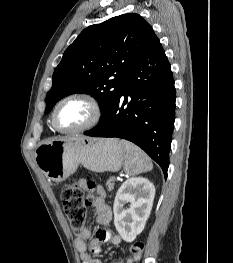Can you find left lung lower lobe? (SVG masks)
I'll return each instance as SVG.
<instances>
[{
    "mask_svg": "<svg viewBox=\"0 0 233 263\" xmlns=\"http://www.w3.org/2000/svg\"><path fill=\"white\" fill-rule=\"evenodd\" d=\"M175 100L171 66L156 37L127 73L115 104L84 134L135 143L161 166L167 178Z\"/></svg>",
    "mask_w": 233,
    "mask_h": 263,
    "instance_id": "left-lung-lower-lobe-1",
    "label": "left lung lower lobe"
}]
</instances>
